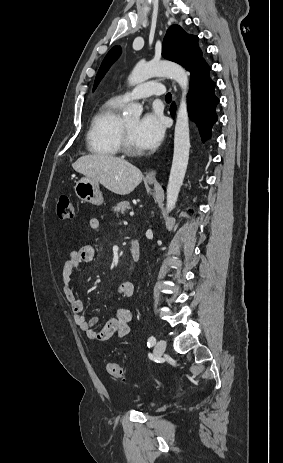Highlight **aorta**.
Here are the masks:
<instances>
[{"instance_id":"762f6f07","label":"aorta","mask_w":283,"mask_h":463,"mask_svg":"<svg viewBox=\"0 0 283 463\" xmlns=\"http://www.w3.org/2000/svg\"><path fill=\"white\" fill-rule=\"evenodd\" d=\"M155 76L169 77L175 80L182 89V98L175 124L173 161L167 186L166 210L171 212L176 205L180 188L183 185L189 160V117L186 104L189 79L186 70L177 63L170 61H141L134 67L128 82L130 85H137ZM142 110L140 104L134 103L128 107L124 117L125 119L139 118Z\"/></svg>"}]
</instances>
